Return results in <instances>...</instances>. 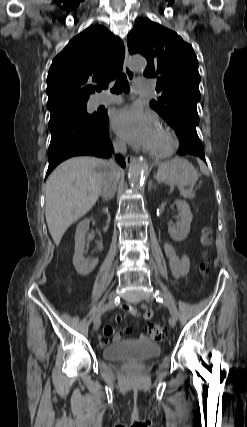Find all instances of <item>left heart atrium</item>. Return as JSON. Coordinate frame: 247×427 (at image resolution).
<instances>
[{
  "mask_svg": "<svg viewBox=\"0 0 247 427\" xmlns=\"http://www.w3.org/2000/svg\"><path fill=\"white\" fill-rule=\"evenodd\" d=\"M112 128L129 144L145 148L151 147L158 130L155 117L135 106L116 111Z\"/></svg>",
  "mask_w": 247,
  "mask_h": 427,
  "instance_id": "39dd6f15",
  "label": "left heart atrium"
}]
</instances>
